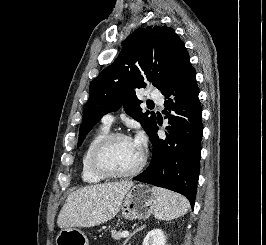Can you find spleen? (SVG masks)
Returning a JSON list of instances; mask_svg holds the SVG:
<instances>
[{
	"mask_svg": "<svg viewBox=\"0 0 266 245\" xmlns=\"http://www.w3.org/2000/svg\"><path fill=\"white\" fill-rule=\"evenodd\" d=\"M152 193L157 199V205L154 211V217L161 219V221H172L186 215L190 205L188 199L173 193V191H166V189H159L153 187Z\"/></svg>",
	"mask_w": 266,
	"mask_h": 245,
	"instance_id": "3e777b00",
	"label": "spleen"
}]
</instances>
